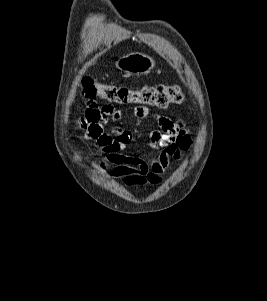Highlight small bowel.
Listing matches in <instances>:
<instances>
[{
	"label": "small bowel",
	"instance_id": "1",
	"mask_svg": "<svg viewBox=\"0 0 267 301\" xmlns=\"http://www.w3.org/2000/svg\"><path fill=\"white\" fill-rule=\"evenodd\" d=\"M134 115L139 120L149 117V110L144 106L136 107ZM120 111L112 103L99 106L94 98L87 100L83 116L77 127L83 131L84 138L93 141L98 148L101 159L95 164L107 172L113 179H118L127 186L146 184L159 185L162 175L166 172L170 160L178 161L182 152L192 146V139L181 122L174 121L163 115H155L158 129L151 132L149 146L156 154L149 160L128 155L124 152L132 141V134L123 126L111 131L105 127L110 120H119Z\"/></svg>",
	"mask_w": 267,
	"mask_h": 301
}]
</instances>
